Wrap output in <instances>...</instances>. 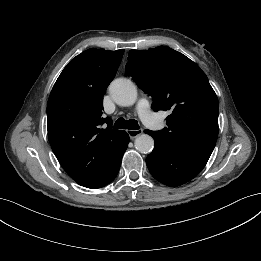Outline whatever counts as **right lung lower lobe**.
Wrapping results in <instances>:
<instances>
[{"instance_id":"obj_1","label":"right lung lower lobe","mask_w":261,"mask_h":261,"mask_svg":"<svg viewBox=\"0 0 261 261\" xmlns=\"http://www.w3.org/2000/svg\"><path fill=\"white\" fill-rule=\"evenodd\" d=\"M128 143H129V136L126 133L122 145L117 150L110 165L97 178L83 184L82 186L91 189H96V188H101L109 184L110 182H112L119 172L121 160L124 152L127 149Z\"/></svg>"}]
</instances>
